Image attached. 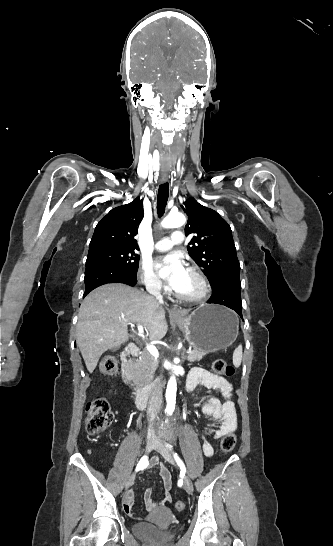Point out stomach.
Wrapping results in <instances>:
<instances>
[{
  "mask_svg": "<svg viewBox=\"0 0 333 546\" xmlns=\"http://www.w3.org/2000/svg\"><path fill=\"white\" fill-rule=\"evenodd\" d=\"M176 323L184 328L189 344L205 352L229 347L238 335L235 313L222 305H203Z\"/></svg>",
  "mask_w": 333,
  "mask_h": 546,
  "instance_id": "stomach-1",
  "label": "stomach"
}]
</instances>
